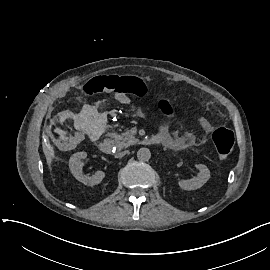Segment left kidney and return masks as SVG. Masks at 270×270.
I'll use <instances>...</instances> for the list:
<instances>
[{
    "mask_svg": "<svg viewBox=\"0 0 270 270\" xmlns=\"http://www.w3.org/2000/svg\"><path fill=\"white\" fill-rule=\"evenodd\" d=\"M199 173L197 177L189 180L179 181V186L184 190H195L202 187L210 179V171L206 165L198 164Z\"/></svg>",
    "mask_w": 270,
    "mask_h": 270,
    "instance_id": "obj_1",
    "label": "left kidney"
}]
</instances>
